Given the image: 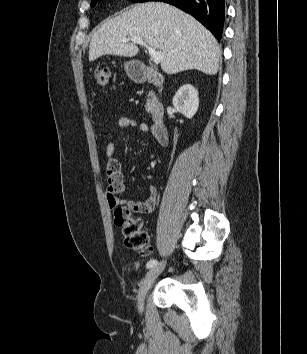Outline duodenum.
<instances>
[{"label": "duodenum", "mask_w": 307, "mask_h": 354, "mask_svg": "<svg viewBox=\"0 0 307 354\" xmlns=\"http://www.w3.org/2000/svg\"><path fill=\"white\" fill-rule=\"evenodd\" d=\"M133 77L136 82L140 83L149 82L155 86L163 84L162 75L151 67L135 71ZM151 116L153 120L152 133L161 145H165L168 142V129L165 123L164 107L160 102H154Z\"/></svg>", "instance_id": "410a0bca"}]
</instances>
